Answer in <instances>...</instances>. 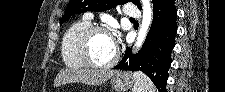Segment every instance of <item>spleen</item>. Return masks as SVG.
Masks as SVG:
<instances>
[{"instance_id": "1", "label": "spleen", "mask_w": 225, "mask_h": 92, "mask_svg": "<svg viewBox=\"0 0 225 92\" xmlns=\"http://www.w3.org/2000/svg\"><path fill=\"white\" fill-rule=\"evenodd\" d=\"M134 86L133 92H157V89L153 82L147 75L140 71L134 73Z\"/></svg>"}]
</instances>
